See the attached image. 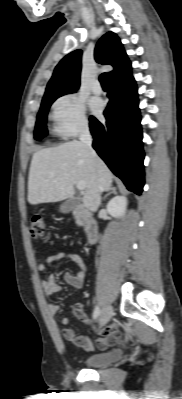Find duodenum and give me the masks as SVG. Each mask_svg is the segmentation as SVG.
I'll return each mask as SVG.
<instances>
[{
  "mask_svg": "<svg viewBox=\"0 0 182 399\" xmlns=\"http://www.w3.org/2000/svg\"><path fill=\"white\" fill-rule=\"evenodd\" d=\"M75 214L84 225L87 244H95L99 234L97 222L92 219L89 212L82 206L76 207Z\"/></svg>",
  "mask_w": 182,
  "mask_h": 399,
  "instance_id": "1",
  "label": "duodenum"
}]
</instances>
